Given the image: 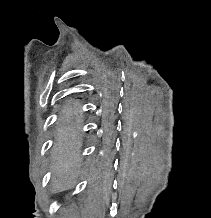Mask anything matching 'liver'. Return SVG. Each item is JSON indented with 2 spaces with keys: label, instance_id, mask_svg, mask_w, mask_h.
Segmentation results:
<instances>
[{
  "label": "liver",
  "instance_id": "obj_1",
  "mask_svg": "<svg viewBox=\"0 0 211 218\" xmlns=\"http://www.w3.org/2000/svg\"><path fill=\"white\" fill-rule=\"evenodd\" d=\"M79 136L73 126H67L60 132L54 146L56 158L54 170V190H69L76 184L79 168Z\"/></svg>",
  "mask_w": 211,
  "mask_h": 218
}]
</instances>
